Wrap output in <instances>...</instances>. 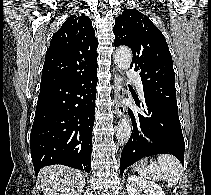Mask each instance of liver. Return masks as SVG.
Segmentation results:
<instances>
[{
  "mask_svg": "<svg viewBox=\"0 0 211 195\" xmlns=\"http://www.w3.org/2000/svg\"><path fill=\"white\" fill-rule=\"evenodd\" d=\"M39 175L44 195H80L85 185L83 172L67 166H46Z\"/></svg>",
  "mask_w": 211,
  "mask_h": 195,
  "instance_id": "1",
  "label": "liver"
}]
</instances>
